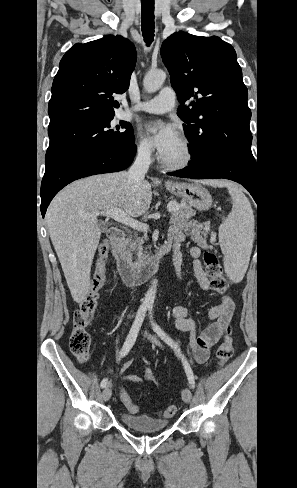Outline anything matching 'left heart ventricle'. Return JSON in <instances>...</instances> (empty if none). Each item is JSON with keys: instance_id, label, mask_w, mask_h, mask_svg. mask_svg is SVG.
Here are the masks:
<instances>
[{"instance_id": "left-heart-ventricle-1", "label": "left heart ventricle", "mask_w": 297, "mask_h": 488, "mask_svg": "<svg viewBox=\"0 0 297 488\" xmlns=\"http://www.w3.org/2000/svg\"><path fill=\"white\" fill-rule=\"evenodd\" d=\"M183 156L184 148L182 141L179 139L163 159L175 162L181 160Z\"/></svg>"}]
</instances>
